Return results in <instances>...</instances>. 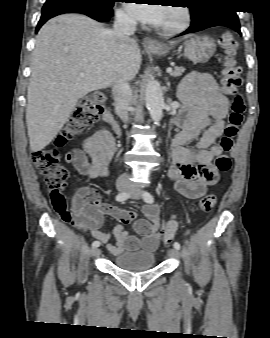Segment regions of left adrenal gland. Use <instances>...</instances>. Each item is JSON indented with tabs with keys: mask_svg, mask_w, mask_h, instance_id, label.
I'll return each instance as SVG.
<instances>
[{
	"mask_svg": "<svg viewBox=\"0 0 270 338\" xmlns=\"http://www.w3.org/2000/svg\"><path fill=\"white\" fill-rule=\"evenodd\" d=\"M166 80H167V78H166ZM167 86H168V89L170 88V83L169 82H167Z\"/></svg>",
	"mask_w": 270,
	"mask_h": 338,
	"instance_id": "a2214340",
	"label": "left adrenal gland"
}]
</instances>
